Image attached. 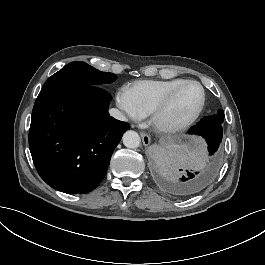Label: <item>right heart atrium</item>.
<instances>
[{"instance_id": "obj_1", "label": "right heart atrium", "mask_w": 265, "mask_h": 265, "mask_svg": "<svg viewBox=\"0 0 265 265\" xmlns=\"http://www.w3.org/2000/svg\"><path fill=\"white\" fill-rule=\"evenodd\" d=\"M115 98L118 103V109L127 124L136 125L144 121L145 114L138 110L133 100V93L129 87H118L115 91Z\"/></svg>"}]
</instances>
